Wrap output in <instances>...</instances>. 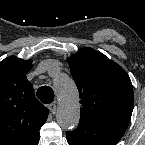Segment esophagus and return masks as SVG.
I'll list each match as a JSON object with an SVG mask.
<instances>
[{"label":"esophagus","mask_w":145,"mask_h":145,"mask_svg":"<svg viewBox=\"0 0 145 145\" xmlns=\"http://www.w3.org/2000/svg\"><path fill=\"white\" fill-rule=\"evenodd\" d=\"M48 109L50 110V112H51L52 114H55L56 111H57V106H56L55 103H51V104L48 105Z\"/></svg>","instance_id":"34e87169"}]
</instances>
